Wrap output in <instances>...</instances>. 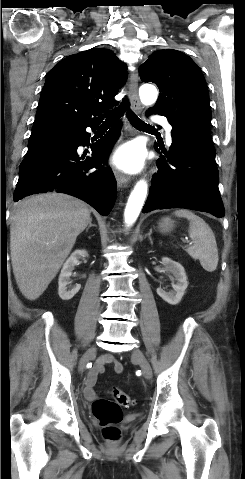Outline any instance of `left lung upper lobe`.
I'll return each instance as SVG.
<instances>
[{"instance_id": "1", "label": "left lung upper lobe", "mask_w": 245, "mask_h": 479, "mask_svg": "<svg viewBox=\"0 0 245 479\" xmlns=\"http://www.w3.org/2000/svg\"><path fill=\"white\" fill-rule=\"evenodd\" d=\"M143 82H154L160 89L157 112L177 127L208 128L211 121L209 95L204 76L186 54L173 50L155 51L140 67Z\"/></svg>"}]
</instances>
